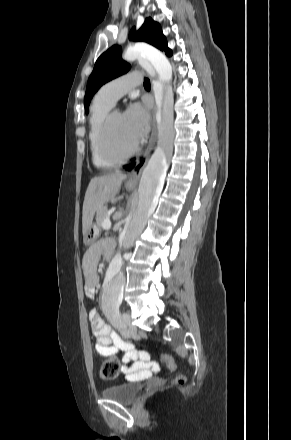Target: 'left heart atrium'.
I'll return each instance as SVG.
<instances>
[{
    "mask_svg": "<svg viewBox=\"0 0 291 440\" xmlns=\"http://www.w3.org/2000/svg\"><path fill=\"white\" fill-rule=\"evenodd\" d=\"M129 129L138 142L146 133L149 126V114L147 109L138 102L132 103L123 114Z\"/></svg>",
    "mask_w": 291,
    "mask_h": 440,
    "instance_id": "obj_1",
    "label": "left heart atrium"
}]
</instances>
